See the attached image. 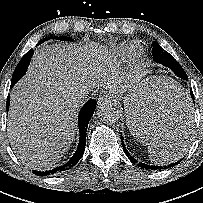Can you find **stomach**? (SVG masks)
<instances>
[{
    "mask_svg": "<svg viewBox=\"0 0 203 203\" xmlns=\"http://www.w3.org/2000/svg\"><path fill=\"white\" fill-rule=\"evenodd\" d=\"M142 99H143V92L140 93V97L138 98V101H140ZM136 100L137 99H135V94L128 95L127 97H125L124 104L126 106V112L128 113V115H132V113L134 111V106L138 102ZM144 136L146 138V135H144Z\"/></svg>",
    "mask_w": 203,
    "mask_h": 203,
    "instance_id": "stomach-1",
    "label": "stomach"
}]
</instances>
